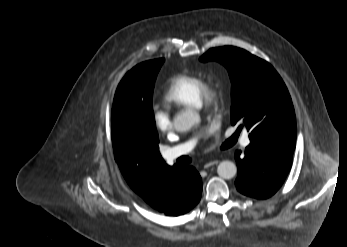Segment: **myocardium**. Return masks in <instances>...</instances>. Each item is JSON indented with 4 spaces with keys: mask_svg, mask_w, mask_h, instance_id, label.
<instances>
[{
    "mask_svg": "<svg viewBox=\"0 0 347 247\" xmlns=\"http://www.w3.org/2000/svg\"><path fill=\"white\" fill-rule=\"evenodd\" d=\"M221 89L210 81H204L201 87L200 99L201 106L205 109L215 108L222 101Z\"/></svg>",
    "mask_w": 347,
    "mask_h": 247,
    "instance_id": "1",
    "label": "myocardium"
}]
</instances>
